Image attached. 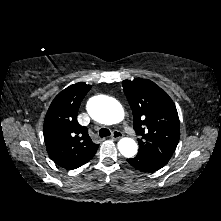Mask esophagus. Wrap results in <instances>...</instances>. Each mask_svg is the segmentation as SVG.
I'll list each match as a JSON object with an SVG mask.
<instances>
[{
	"label": "esophagus",
	"instance_id": "1",
	"mask_svg": "<svg viewBox=\"0 0 221 221\" xmlns=\"http://www.w3.org/2000/svg\"><path fill=\"white\" fill-rule=\"evenodd\" d=\"M122 137H123V133L118 131V130L113 131V133L111 135V139L112 140H118V139H120Z\"/></svg>",
	"mask_w": 221,
	"mask_h": 221
}]
</instances>
